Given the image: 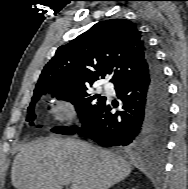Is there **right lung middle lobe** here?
I'll return each instance as SVG.
<instances>
[{
    "mask_svg": "<svg viewBox=\"0 0 188 189\" xmlns=\"http://www.w3.org/2000/svg\"><path fill=\"white\" fill-rule=\"evenodd\" d=\"M52 92L53 97L58 99H64L71 102L78 112L81 118L83 126L86 125L96 114L99 108L105 102V97H98L97 95L92 96L88 93V88L83 89H69V88H58L53 90H45L35 93L32 98V102L28 107V118L27 121H33L36 117L35 115V104L39 98L46 92ZM33 125V122H30ZM41 127V126H38ZM81 128L74 127H55L51 131L58 134L72 135L76 134Z\"/></svg>",
    "mask_w": 188,
    "mask_h": 189,
    "instance_id": "dd1d6c3e",
    "label": "right lung middle lobe"
}]
</instances>
